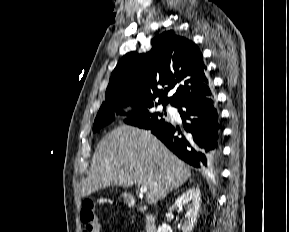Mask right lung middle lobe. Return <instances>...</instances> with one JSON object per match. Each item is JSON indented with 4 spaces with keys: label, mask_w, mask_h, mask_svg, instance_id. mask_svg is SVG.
<instances>
[{
    "label": "right lung middle lobe",
    "mask_w": 289,
    "mask_h": 232,
    "mask_svg": "<svg viewBox=\"0 0 289 232\" xmlns=\"http://www.w3.org/2000/svg\"><path fill=\"white\" fill-rule=\"evenodd\" d=\"M160 104V103H158ZM154 102H148L133 97H113L103 102L96 116L93 132L98 131L103 126L111 123L118 114H125L122 109L126 106H132L133 111L129 112L128 118L125 119L127 124L137 126L139 128L151 129L162 123L167 122L164 116L167 113L155 112L153 110Z\"/></svg>",
    "instance_id": "dd1d6c3e"
}]
</instances>
